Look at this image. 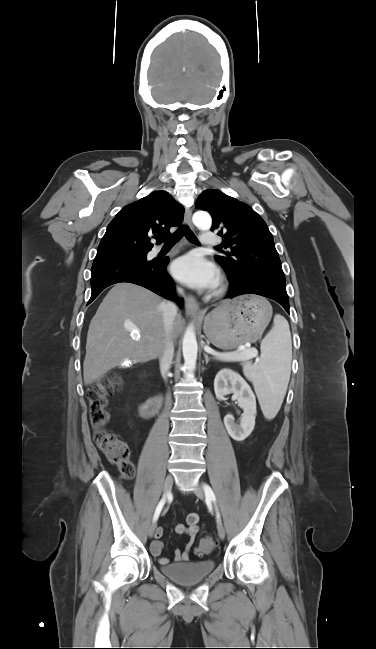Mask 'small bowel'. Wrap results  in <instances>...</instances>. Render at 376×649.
Instances as JSON below:
<instances>
[{"instance_id":"c3829d8e","label":"small bowel","mask_w":376,"mask_h":649,"mask_svg":"<svg viewBox=\"0 0 376 649\" xmlns=\"http://www.w3.org/2000/svg\"><path fill=\"white\" fill-rule=\"evenodd\" d=\"M197 517V520L192 522L191 518L192 517ZM199 516L196 513H190L186 517L185 524H177L174 527V531L179 534V535H186L188 537V541L186 543L185 549L183 551L181 550H175L174 551V560L179 562V561H188L190 559V550L192 546L194 545L196 535L199 532ZM163 528L158 527L155 531L154 534V540L150 544V550L153 555L155 556H160L162 549H163V542H162V537H163ZM160 564H168L169 559L166 557H159L158 559Z\"/></svg>"}]
</instances>
